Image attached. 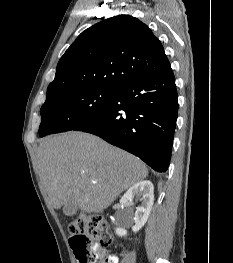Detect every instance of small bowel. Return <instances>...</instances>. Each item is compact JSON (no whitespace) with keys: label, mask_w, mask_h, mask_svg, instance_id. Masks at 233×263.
Instances as JSON below:
<instances>
[{"label":"small bowel","mask_w":233,"mask_h":263,"mask_svg":"<svg viewBox=\"0 0 233 263\" xmlns=\"http://www.w3.org/2000/svg\"><path fill=\"white\" fill-rule=\"evenodd\" d=\"M118 261V257L114 254L109 255L106 259V263H118Z\"/></svg>","instance_id":"small-bowel-1"}]
</instances>
